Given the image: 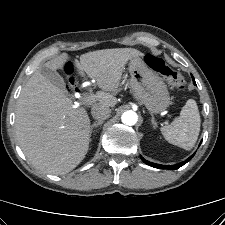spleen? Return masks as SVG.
<instances>
[{"instance_id":"1","label":"spleen","mask_w":225,"mask_h":225,"mask_svg":"<svg viewBox=\"0 0 225 225\" xmlns=\"http://www.w3.org/2000/svg\"><path fill=\"white\" fill-rule=\"evenodd\" d=\"M200 114L195 100L189 99L169 125L161 128L163 137L171 144L190 150L194 147L200 131Z\"/></svg>"}]
</instances>
